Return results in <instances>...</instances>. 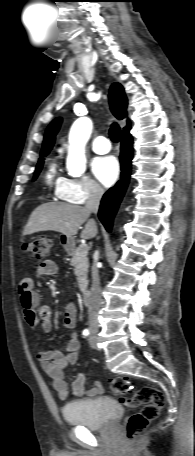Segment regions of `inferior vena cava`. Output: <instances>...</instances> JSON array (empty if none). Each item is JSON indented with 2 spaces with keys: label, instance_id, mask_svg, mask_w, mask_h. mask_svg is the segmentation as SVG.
<instances>
[{
  "label": "inferior vena cava",
  "instance_id": "obj_1",
  "mask_svg": "<svg viewBox=\"0 0 195 456\" xmlns=\"http://www.w3.org/2000/svg\"><path fill=\"white\" fill-rule=\"evenodd\" d=\"M104 194V190L98 186L93 185L90 189L89 197L86 201L85 208L88 212L97 213L100 205V200ZM98 259H94L92 265V286L91 297L88 306V320L91 328H98V314L102 304L101 287L98 272Z\"/></svg>",
  "mask_w": 195,
  "mask_h": 456
}]
</instances>
